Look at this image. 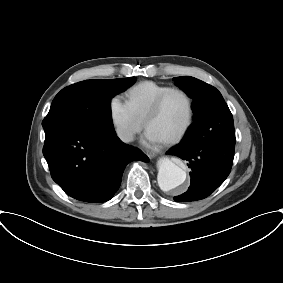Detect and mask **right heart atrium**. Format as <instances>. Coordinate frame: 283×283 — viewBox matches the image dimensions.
<instances>
[{
	"label": "right heart atrium",
	"mask_w": 283,
	"mask_h": 283,
	"mask_svg": "<svg viewBox=\"0 0 283 283\" xmlns=\"http://www.w3.org/2000/svg\"><path fill=\"white\" fill-rule=\"evenodd\" d=\"M109 118L112 127L120 140L129 143L142 129V122L138 120L126 101L114 96L109 101Z\"/></svg>",
	"instance_id": "obj_1"
}]
</instances>
